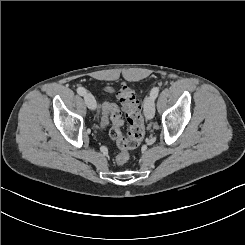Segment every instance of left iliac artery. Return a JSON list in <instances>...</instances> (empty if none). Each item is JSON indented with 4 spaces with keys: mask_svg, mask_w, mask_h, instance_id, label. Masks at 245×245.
Wrapping results in <instances>:
<instances>
[{
    "mask_svg": "<svg viewBox=\"0 0 245 245\" xmlns=\"http://www.w3.org/2000/svg\"><path fill=\"white\" fill-rule=\"evenodd\" d=\"M158 93H159V87H154V88L151 90L150 95L155 99V98L158 96Z\"/></svg>",
    "mask_w": 245,
    "mask_h": 245,
    "instance_id": "left-iliac-artery-1",
    "label": "left iliac artery"
}]
</instances>
